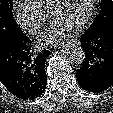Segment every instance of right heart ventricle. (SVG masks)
<instances>
[{
  "label": "right heart ventricle",
  "instance_id": "right-heart-ventricle-1",
  "mask_svg": "<svg viewBox=\"0 0 113 113\" xmlns=\"http://www.w3.org/2000/svg\"><path fill=\"white\" fill-rule=\"evenodd\" d=\"M25 2L40 13L47 15L52 0H25Z\"/></svg>",
  "mask_w": 113,
  "mask_h": 113
}]
</instances>
